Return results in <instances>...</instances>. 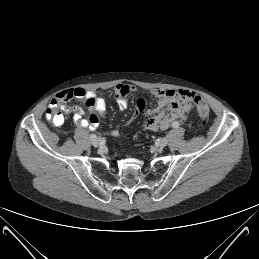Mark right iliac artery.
<instances>
[{
	"label": "right iliac artery",
	"instance_id": "1",
	"mask_svg": "<svg viewBox=\"0 0 259 259\" xmlns=\"http://www.w3.org/2000/svg\"><path fill=\"white\" fill-rule=\"evenodd\" d=\"M90 138H91V140H94V139H96V135L95 134H91Z\"/></svg>",
	"mask_w": 259,
	"mask_h": 259
}]
</instances>
